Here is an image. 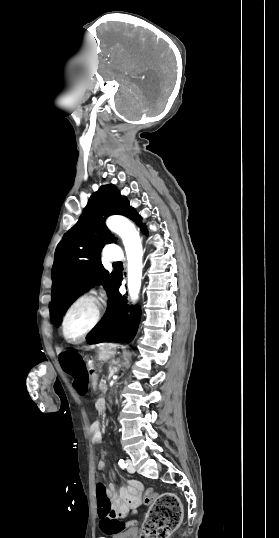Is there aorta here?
I'll return each mask as SVG.
<instances>
[{
	"instance_id": "762f6f07",
	"label": "aorta",
	"mask_w": 279,
	"mask_h": 538,
	"mask_svg": "<svg viewBox=\"0 0 279 538\" xmlns=\"http://www.w3.org/2000/svg\"><path fill=\"white\" fill-rule=\"evenodd\" d=\"M107 227L117 233L124 244L127 256L128 290L131 301L139 297L142 278V243L135 226L125 217L112 216L106 221Z\"/></svg>"
}]
</instances>
